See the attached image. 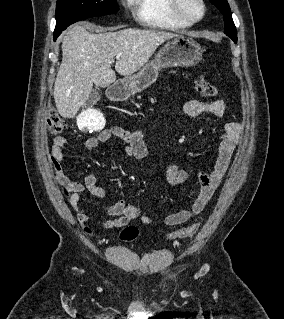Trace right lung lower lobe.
<instances>
[{"label":"right lung lower lobe","instance_id":"obj_1","mask_svg":"<svg viewBox=\"0 0 284 319\" xmlns=\"http://www.w3.org/2000/svg\"><path fill=\"white\" fill-rule=\"evenodd\" d=\"M57 36H58V35H55V34H54V40L57 38Z\"/></svg>","mask_w":284,"mask_h":319}]
</instances>
